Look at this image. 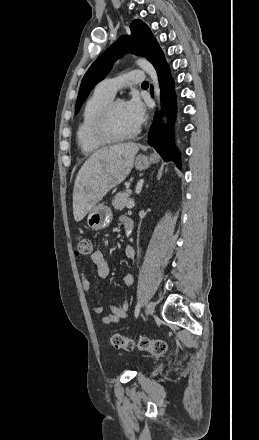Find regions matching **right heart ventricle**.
Listing matches in <instances>:
<instances>
[{
    "mask_svg": "<svg viewBox=\"0 0 259 440\" xmlns=\"http://www.w3.org/2000/svg\"><path fill=\"white\" fill-rule=\"evenodd\" d=\"M112 98L96 89L85 102L76 130V140L82 153L92 154L108 144L94 137L92 127L99 112Z\"/></svg>",
    "mask_w": 259,
    "mask_h": 440,
    "instance_id": "obj_1",
    "label": "right heart ventricle"
}]
</instances>
